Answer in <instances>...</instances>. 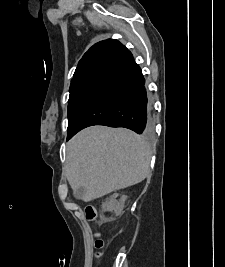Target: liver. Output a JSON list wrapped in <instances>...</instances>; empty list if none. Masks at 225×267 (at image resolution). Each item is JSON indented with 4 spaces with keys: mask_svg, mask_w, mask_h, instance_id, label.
<instances>
[{
    "mask_svg": "<svg viewBox=\"0 0 225 267\" xmlns=\"http://www.w3.org/2000/svg\"><path fill=\"white\" fill-rule=\"evenodd\" d=\"M151 156L150 146L133 131L91 126L67 144L66 176L73 190L84 188L81 199L90 202L142 182Z\"/></svg>",
    "mask_w": 225,
    "mask_h": 267,
    "instance_id": "1",
    "label": "liver"
}]
</instances>
